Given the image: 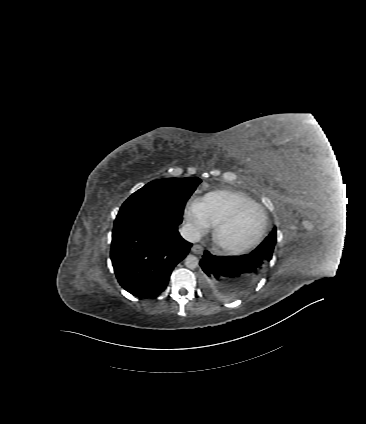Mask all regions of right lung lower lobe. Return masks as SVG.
I'll list each match as a JSON object with an SVG mask.
<instances>
[{
	"instance_id": "obj_1",
	"label": "right lung lower lobe",
	"mask_w": 366,
	"mask_h": 424,
	"mask_svg": "<svg viewBox=\"0 0 366 424\" xmlns=\"http://www.w3.org/2000/svg\"><path fill=\"white\" fill-rule=\"evenodd\" d=\"M191 246L176 225L141 215L115 220L110 257L119 284L134 296L150 298L166 288L172 270Z\"/></svg>"
}]
</instances>
